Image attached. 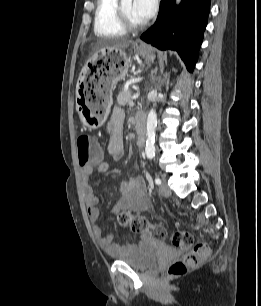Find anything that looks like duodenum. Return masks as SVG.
Masks as SVG:
<instances>
[{"label":"duodenum","mask_w":261,"mask_h":306,"mask_svg":"<svg viewBox=\"0 0 261 306\" xmlns=\"http://www.w3.org/2000/svg\"><path fill=\"white\" fill-rule=\"evenodd\" d=\"M133 124L138 134L137 143L142 144L145 138L146 116L137 114L133 119Z\"/></svg>","instance_id":"duodenum-1"}]
</instances>
